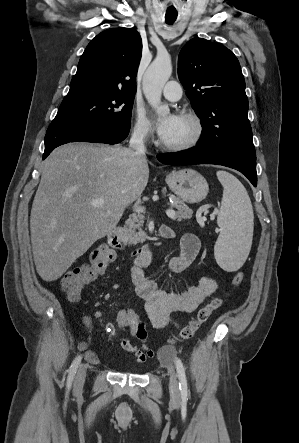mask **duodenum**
Instances as JSON below:
<instances>
[{
  "instance_id": "obj_1",
  "label": "duodenum",
  "mask_w": 299,
  "mask_h": 443,
  "mask_svg": "<svg viewBox=\"0 0 299 443\" xmlns=\"http://www.w3.org/2000/svg\"><path fill=\"white\" fill-rule=\"evenodd\" d=\"M159 236L162 238L167 237V232L163 227L159 229ZM107 240L109 245L116 249L123 251L127 248L126 241L122 238L120 230L116 227L110 229L107 235ZM134 254L136 255V263L141 265H147L150 263L152 259V251L148 245H143L134 250Z\"/></svg>"
}]
</instances>
